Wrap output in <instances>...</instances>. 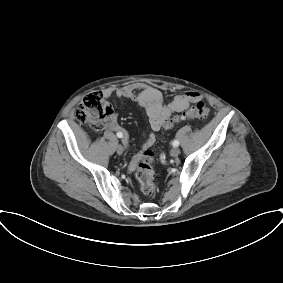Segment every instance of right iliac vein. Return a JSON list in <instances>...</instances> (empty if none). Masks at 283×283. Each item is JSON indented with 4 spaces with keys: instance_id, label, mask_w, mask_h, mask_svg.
I'll return each instance as SVG.
<instances>
[{
    "instance_id": "63e3f726",
    "label": "right iliac vein",
    "mask_w": 283,
    "mask_h": 283,
    "mask_svg": "<svg viewBox=\"0 0 283 283\" xmlns=\"http://www.w3.org/2000/svg\"><path fill=\"white\" fill-rule=\"evenodd\" d=\"M116 151L119 155H121L124 151V148L122 145H117Z\"/></svg>"
}]
</instances>
